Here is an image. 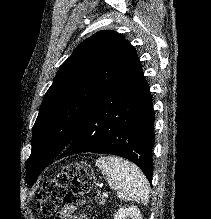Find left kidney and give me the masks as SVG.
Masks as SVG:
<instances>
[{
    "mask_svg": "<svg viewBox=\"0 0 211 219\" xmlns=\"http://www.w3.org/2000/svg\"><path fill=\"white\" fill-rule=\"evenodd\" d=\"M114 219H142L141 212L136 206L120 208L114 215Z\"/></svg>",
    "mask_w": 211,
    "mask_h": 219,
    "instance_id": "obj_1",
    "label": "left kidney"
}]
</instances>
